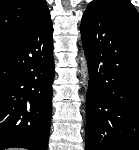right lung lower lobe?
Returning a JSON list of instances; mask_svg holds the SVG:
<instances>
[{"label":"right lung lower lobe","instance_id":"1","mask_svg":"<svg viewBox=\"0 0 139 150\" xmlns=\"http://www.w3.org/2000/svg\"><path fill=\"white\" fill-rule=\"evenodd\" d=\"M50 14L0 42V150H47L54 79Z\"/></svg>","mask_w":139,"mask_h":150}]
</instances>
